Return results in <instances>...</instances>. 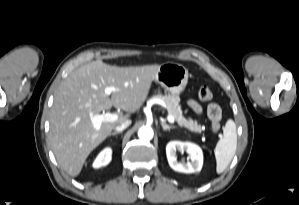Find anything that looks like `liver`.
I'll list each match as a JSON object with an SVG mask.
<instances>
[{"instance_id": "1", "label": "liver", "mask_w": 299, "mask_h": 205, "mask_svg": "<svg viewBox=\"0 0 299 205\" xmlns=\"http://www.w3.org/2000/svg\"><path fill=\"white\" fill-rule=\"evenodd\" d=\"M159 65L117 67L93 61L73 71L58 88L50 114L49 141L58 164L72 177L79 175L89 154L117 126L139 110L156 79ZM113 86L111 96L104 90ZM112 106L126 111L96 131L91 115Z\"/></svg>"}]
</instances>
